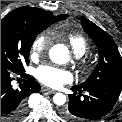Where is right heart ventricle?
Instances as JSON below:
<instances>
[{
	"label": "right heart ventricle",
	"mask_w": 122,
	"mask_h": 122,
	"mask_svg": "<svg viewBox=\"0 0 122 122\" xmlns=\"http://www.w3.org/2000/svg\"><path fill=\"white\" fill-rule=\"evenodd\" d=\"M69 43L77 57H81L89 50L87 39L80 34H73L68 37Z\"/></svg>",
	"instance_id": "e07e8e85"
}]
</instances>
